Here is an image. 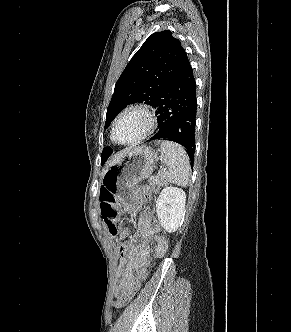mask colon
I'll list each match as a JSON object with an SVG mask.
<instances>
[{
    "label": "colon",
    "instance_id": "1",
    "mask_svg": "<svg viewBox=\"0 0 291 332\" xmlns=\"http://www.w3.org/2000/svg\"><path fill=\"white\" fill-rule=\"evenodd\" d=\"M155 192L156 187L154 185L145 184L142 186L143 197L146 201L150 200ZM100 210L110 235L117 239L123 238L125 232L118 225L119 211L116 207L113 194L107 189H102L100 192ZM144 274L145 270L140 274L135 282L118 297L116 301L117 308L126 306L133 299L134 295L140 287V283Z\"/></svg>",
    "mask_w": 291,
    "mask_h": 332
}]
</instances>
